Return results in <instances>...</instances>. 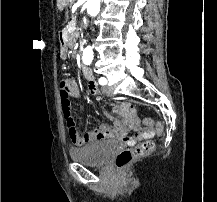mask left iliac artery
Here are the masks:
<instances>
[{"mask_svg":"<svg viewBox=\"0 0 217 202\" xmlns=\"http://www.w3.org/2000/svg\"><path fill=\"white\" fill-rule=\"evenodd\" d=\"M99 84L105 85V84H107V80L105 78H100L99 79Z\"/></svg>","mask_w":217,"mask_h":202,"instance_id":"1","label":"left iliac artery"}]
</instances>
